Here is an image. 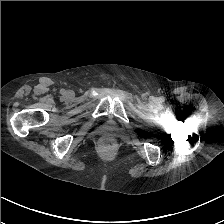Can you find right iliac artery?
Wrapping results in <instances>:
<instances>
[{
  "label": "right iliac artery",
  "instance_id": "right-iliac-artery-1",
  "mask_svg": "<svg viewBox=\"0 0 224 224\" xmlns=\"http://www.w3.org/2000/svg\"><path fill=\"white\" fill-rule=\"evenodd\" d=\"M60 93H61V94H65V90L62 89V90L60 91Z\"/></svg>",
  "mask_w": 224,
  "mask_h": 224
}]
</instances>
